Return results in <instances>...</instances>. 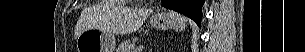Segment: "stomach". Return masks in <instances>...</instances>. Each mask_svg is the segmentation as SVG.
<instances>
[{
    "mask_svg": "<svg viewBox=\"0 0 305 52\" xmlns=\"http://www.w3.org/2000/svg\"><path fill=\"white\" fill-rule=\"evenodd\" d=\"M187 24V19L177 13H158L151 19V25L158 30H181ZM115 37L110 32L100 28H90L83 31L76 39L77 52H114Z\"/></svg>",
    "mask_w": 305,
    "mask_h": 52,
    "instance_id": "stomach-1",
    "label": "stomach"
}]
</instances>
